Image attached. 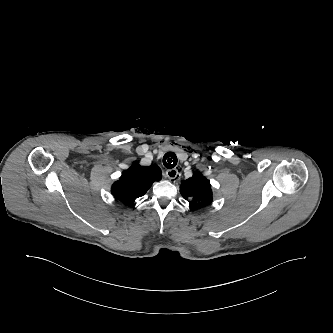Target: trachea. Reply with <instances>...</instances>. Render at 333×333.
<instances>
[{"label":"trachea","instance_id":"obj_1","mask_svg":"<svg viewBox=\"0 0 333 333\" xmlns=\"http://www.w3.org/2000/svg\"><path fill=\"white\" fill-rule=\"evenodd\" d=\"M163 164L166 168H174L177 165V156L173 152H167L163 157Z\"/></svg>","mask_w":333,"mask_h":333}]
</instances>
